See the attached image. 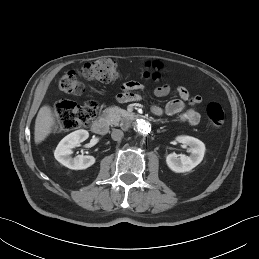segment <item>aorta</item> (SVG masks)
<instances>
[{
  "instance_id": "aorta-1",
  "label": "aorta",
  "mask_w": 259,
  "mask_h": 259,
  "mask_svg": "<svg viewBox=\"0 0 259 259\" xmlns=\"http://www.w3.org/2000/svg\"><path fill=\"white\" fill-rule=\"evenodd\" d=\"M135 131L139 135H148L151 132V125L148 121L144 119H139L134 125Z\"/></svg>"
}]
</instances>
